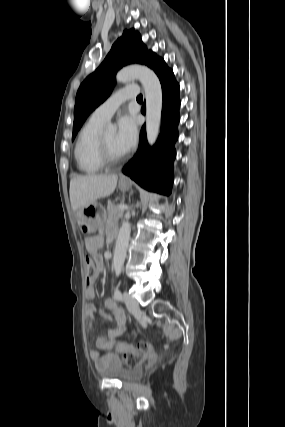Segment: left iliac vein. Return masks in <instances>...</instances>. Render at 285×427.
Here are the masks:
<instances>
[{"label": "left iliac vein", "mask_w": 285, "mask_h": 427, "mask_svg": "<svg viewBox=\"0 0 285 427\" xmlns=\"http://www.w3.org/2000/svg\"><path fill=\"white\" fill-rule=\"evenodd\" d=\"M124 302L130 312H135L139 309L138 301L128 293H124Z\"/></svg>", "instance_id": "1"}]
</instances>
